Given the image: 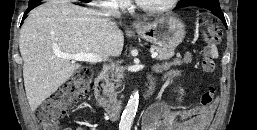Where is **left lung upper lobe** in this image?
<instances>
[{"mask_svg": "<svg viewBox=\"0 0 257 130\" xmlns=\"http://www.w3.org/2000/svg\"><path fill=\"white\" fill-rule=\"evenodd\" d=\"M204 0H181L179 3H178V6L180 5H185V4H191V3H197V4H200V2H202ZM211 1H217L219 2L218 0H211Z\"/></svg>", "mask_w": 257, "mask_h": 130, "instance_id": "left-lung-upper-lobe-1", "label": "left lung upper lobe"}]
</instances>
